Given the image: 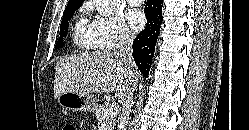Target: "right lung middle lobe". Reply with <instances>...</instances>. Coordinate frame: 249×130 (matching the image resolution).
<instances>
[{"label":"right lung middle lobe","instance_id":"obj_1","mask_svg":"<svg viewBox=\"0 0 249 130\" xmlns=\"http://www.w3.org/2000/svg\"><path fill=\"white\" fill-rule=\"evenodd\" d=\"M79 7V4H70L66 6L60 25V38L58 39L57 44L55 45L56 49L63 47V37L66 35L69 26L68 20L73 16L74 12Z\"/></svg>","mask_w":249,"mask_h":130}]
</instances>
